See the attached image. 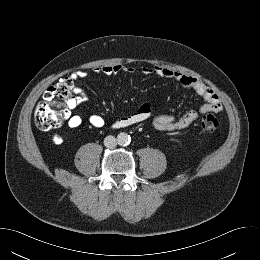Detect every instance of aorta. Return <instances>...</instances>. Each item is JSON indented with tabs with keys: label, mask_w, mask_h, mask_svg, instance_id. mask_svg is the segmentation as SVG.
Masks as SVG:
<instances>
[{
	"label": "aorta",
	"mask_w": 260,
	"mask_h": 260,
	"mask_svg": "<svg viewBox=\"0 0 260 260\" xmlns=\"http://www.w3.org/2000/svg\"><path fill=\"white\" fill-rule=\"evenodd\" d=\"M117 141L120 146H127L131 142V137L127 133H120L117 136Z\"/></svg>",
	"instance_id": "obj_1"
}]
</instances>
